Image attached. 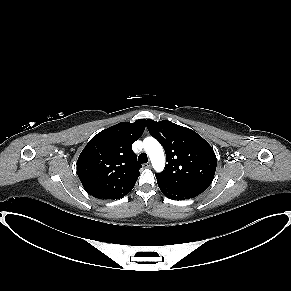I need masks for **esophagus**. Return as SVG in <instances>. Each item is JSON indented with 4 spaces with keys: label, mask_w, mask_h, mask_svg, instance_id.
I'll list each match as a JSON object with an SVG mask.
<instances>
[{
    "label": "esophagus",
    "mask_w": 291,
    "mask_h": 291,
    "mask_svg": "<svg viewBox=\"0 0 291 291\" xmlns=\"http://www.w3.org/2000/svg\"><path fill=\"white\" fill-rule=\"evenodd\" d=\"M143 167L144 168H151V164L150 163H145V164H143Z\"/></svg>",
    "instance_id": "esophagus-1"
}]
</instances>
